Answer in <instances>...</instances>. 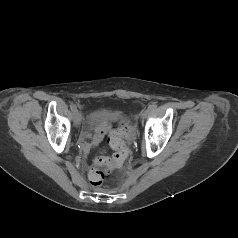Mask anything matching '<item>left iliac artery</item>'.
Returning a JSON list of instances; mask_svg holds the SVG:
<instances>
[{"instance_id":"left-iliac-artery-1","label":"left iliac artery","mask_w":238,"mask_h":238,"mask_svg":"<svg viewBox=\"0 0 238 238\" xmlns=\"http://www.w3.org/2000/svg\"><path fill=\"white\" fill-rule=\"evenodd\" d=\"M156 109V105H150L149 107H148V111H153V110H155Z\"/></svg>"}]
</instances>
